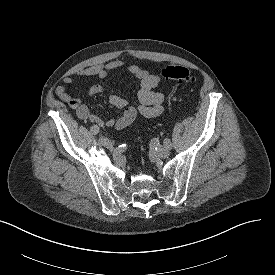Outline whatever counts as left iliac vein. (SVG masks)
<instances>
[{
	"label": "left iliac vein",
	"instance_id": "1",
	"mask_svg": "<svg viewBox=\"0 0 275 275\" xmlns=\"http://www.w3.org/2000/svg\"><path fill=\"white\" fill-rule=\"evenodd\" d=\"M154 152L161 158H166L170 155L169 149L162 145H156L154 148Z\"/></svg>",
	"mask_w": 275,
	"mask_h": 275
}]
</instances>
